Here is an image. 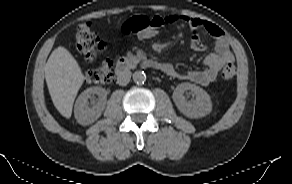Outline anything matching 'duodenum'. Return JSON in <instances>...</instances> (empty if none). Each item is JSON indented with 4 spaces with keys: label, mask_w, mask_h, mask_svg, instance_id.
<instances>
[{
    "label": "duodenum",
    "mask_w": 292,
    "mask_h": 184,
    "mask_svg": "<svg viewBox=\"0 0 292 184\" xmlns=\"http://www.w3.org/2000/svg\"><path fill=\"white\" fill-rule=\"evenodd\" d=\"M136 63H139L145 67L153 68L162 72L168 71V67L165 63L155 61L152 58H149L148 56L135 58L131 55H126V56L121 57L116 63L115 71L118 78L123 79L128 69L131 66L135 65Z\"/></svg>",
    "instance_id": "1"
}]
</instances>
